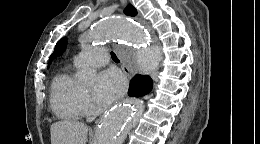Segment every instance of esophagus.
<instances>
[{
    "instance_id": "34e87169",
    "label": "esophagus",
    "mask_w": 260,
    "mask_h": 144,
    "mask_svg": "<svg viewBox=\"0 0 260 144\" xmlns=\"http://www.w3.org/2000/svg\"><path fill=\"white\" fill-rule=\"evenodd\" d=\"M120 3H121V6H122V7H125V5H126V0H120ZM121 67H122V70H123L124 74H125L128 78H131V77H132V72H131V70L129 69V67H128L123 61H121Z\"/></svg>"
}]
</instances>
